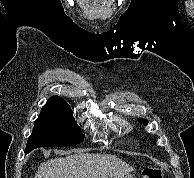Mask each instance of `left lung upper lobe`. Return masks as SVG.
I'll use <instances>...</instances> for the list:
<instances>
[{
    "mask_svg": "<svg viewBox=\"0 0 194 178\" xmlns=\"http://www.w3.org/2000/svg\"><path fill=\"white\" fill-rule=\"evenodd\" d=\"M138 121H140L143 124H147L148 121L146 119L139 118Z\"/></svg>",
    "mask_w": 194,
    "mask_h": 178,
    "instance_id": "obj_1",
    "label": "left lung upper lobe"
}]
</instances>
